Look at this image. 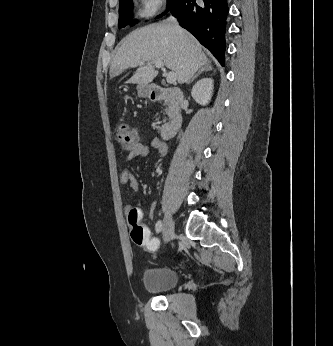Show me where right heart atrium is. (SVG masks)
<instances>
[{
  "label": "right heart atrium",
  "instance_id": "obj_1",
  "mask_svg": "<svg viewBox=\"0 0 333 346\" xmlns=\"http://www.w3.org/2000/svg\"><path fill=\"white\" fill-rule=\"evenodd\" d=\"M164 0H139L140 14L144 17L155 14L162 6Z\"/></svg>",
  "mask_w": 333,
  "mask_h": 346
}]
</instances>
